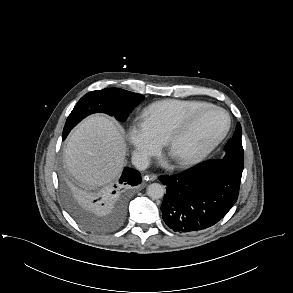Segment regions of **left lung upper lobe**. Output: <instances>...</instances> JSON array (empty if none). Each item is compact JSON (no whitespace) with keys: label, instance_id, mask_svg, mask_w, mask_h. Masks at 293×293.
Listing matches in <instances>:
<instances>
[{"label":"left lung upper lobe","instance_id":"1","mask_svg":"<svg viewBox=\"0 0 293 293\" xmlns=\"http://www.w3.org/2000/svg\"><path fill=\"white\" fill-rule=\"evenodd\" d=\"M241 136L242 129L240 123H238L233 137L228 141L225 146V156L222 159L218 160L230 164L232 167L239 171H243L244 165Z\"/></svg>","mask_w":293,"mask_h":293}]
</instances>
